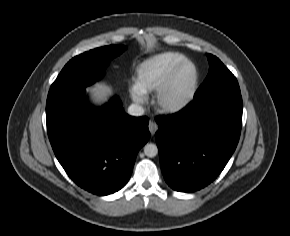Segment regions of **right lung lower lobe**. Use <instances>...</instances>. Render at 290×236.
I'll return each instance as SVG.
<instances>
[{"instance_id": "right-lung-lower-lobe-1", "label": "right lung lower lobe", "mask_w": 290, "mask_h": 236, "mask_svg": "<svg viewBox=\"0 0 290 236\" xmlns=\"http://www.w3.org/2000/svg\"><path fill=\"white\" fill-rule=\"evenodd\" d=\"M46 120L58 161L77 185L96 195L112 194L128 182L150 138L147 117L127 115L118 97L93 108L84 86L50 90Z\"/></svg>"}]
</instances>
